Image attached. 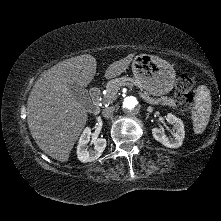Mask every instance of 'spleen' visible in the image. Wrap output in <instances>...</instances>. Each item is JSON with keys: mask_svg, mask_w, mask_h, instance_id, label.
Returning a JSON list of instances; mask_svg holds the SVG:
<instances>
[{"mask_svg": "<svg viewBox=\"0 0 221 221\" xmlns=\"http://www.w3.org/2000/svg\"><path fill=\"white\" fill-rule=\"evenodd\" d=\"M210 114L211 97L209 89L205 85H200L195 94V104L191 113L193 129L196 134L205 130Z\"/></svg>", "mask_w": 221, "mask_h": 221, "instance_id": "1", "label": "spleen"}]
</instances>
